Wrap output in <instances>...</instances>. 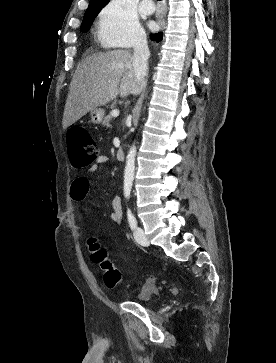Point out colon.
I'll use <instances>...</instances> for the list:
<instances>
[{
	"label": "colon",
	"mask_w": 276,
	"mask_h": 363,
	"mask_svg": "<svg viewBox=\"0 0 276 363\" xmlns=\"http://www.w3.org/2000/svg\"><path fill=\"white\" fill-rule=\"evenodd\" d=\"M67 148L72 164L77 168L86 167L98 159L99 146L91 134L84 128L74 127L67 133ZM87 245L91 260L100 265L104 271V283L108 288L116 287L121 281L120 270L108 258L107 251L89 236Z\"/></svg>",
	"instance_id": "1"
}]
</instances>
